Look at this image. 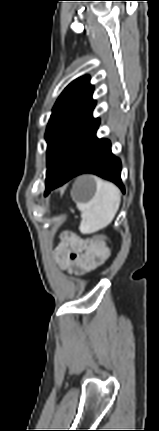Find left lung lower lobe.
<instances>
[{"label":"left lung lower lobe","mask_w":159,"mask_h":431,"mask_svg":"<svg viewBox=\"0 0 159 431\" xmlns=\"http://www.w3.org/2000/svg\"><path fill=\"white\" fill-rule=\"evenodd\" d=\"M99 120L83 130L69 148L61 168L46 188L45 195L82 173H93L114 182L125 192L121 182V161L111 152L107 139H98Z\"/></svg>","instance_id":"obj_1"}]
</instances>
